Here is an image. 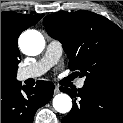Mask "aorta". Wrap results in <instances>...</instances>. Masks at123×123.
Here are the masks:
<instances>
[{"mask_svg": "<svg viewBox=\"0 0 123 123\" xmlns=\"http://www.w3.org/2000/svg\"><path fill=\"white\" fill-rule=\"evenodd\" d=\"M44 46V37L36 30H28L20 37V47L26 55H38L42 52ZM53 107L59 113H67L72 108V99L65 93L57 94L53 99Z\"/></svg>", "mask_w": 123, "mask_h": 123, "instance_id": "762f6f07", "label": "aorta"}]
</instances>
